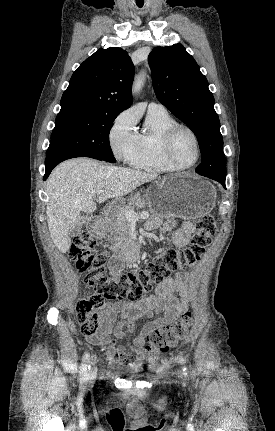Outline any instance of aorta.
Listing matches in <instances>:
<instances>
[{"label": "aorta", "mask_w": 275, "mask_h": 431, "mask_svg": "<svg viewBox=\"0 0 275 431\" xmlns=\"http://www.w3.org/2000/svg\"><path fill=\"white\" fill-rule=\"evenodd\" d=\"M144 80H145V75L142 72L140 75L137 76V78L135 79L134 83H133V88H132V92L133 93H138L143 84H144Z\"/></svg>", "instance_id": "aorta-1"}]
</instances>
